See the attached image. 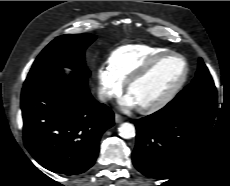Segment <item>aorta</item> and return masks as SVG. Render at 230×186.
<instances>
[{
  "instance_id": "obj_1",
  "label": "aorta",
  "mask_w": 230,
  "mask_h": 186,
  "mask_svg": "<svg viewBox=\"0 0 230 186\" xmlns=\"http://www.w3.org/2000/svg\"><path fill=\"white\" fill-rule=\"evenodd\" d=\"M119 135L124 139H130L135 136V127L133 124L125 122L118 128Z\"/></svg>"
}]
</instances>
